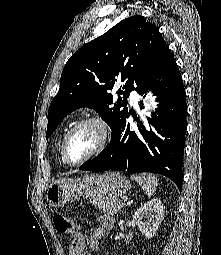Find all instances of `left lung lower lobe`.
<instances>
[{
  "mask_svg": "<svg viewBox=\"0 0 221 255\" xmlns=\"http://www.w3.org/2000/svg\"><path fill=\"white\" fill-rule=\"evenodd\" d=\"M149 91L159 102L148 118L149 130L138 121L139 133L132 131L128 113L112 133L108 148L80 170L157 173L170 178L181 191L187 104L182 77L168 46L138 93L145 97Z\"/></svg>",
  "mask_w": 221,
  "mask_h": 255,
  "instance_id": "obj_1",
  "label": "left lung lower lobe"
}]
</instances>
